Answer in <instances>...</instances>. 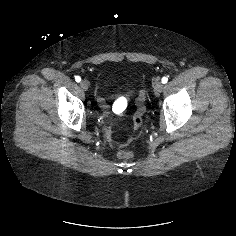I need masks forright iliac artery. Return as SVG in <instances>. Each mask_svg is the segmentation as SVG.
Masks as SVG:
<instances>
[{"label":"right iliac artery","instance_id":"1","mask_svg":"<svg viewBox=\"0 0 236 236\" xmlns=\"http://www.w3.org/2000/svg\"><path fill=\"white\" fill-rule=\"evenodd\" d=\"M75 80H76V82H80V81H81V78H80L79 76H76V77H75Z\"/></svg>","mask_w":236,"mask_h":236}]
</instances>
